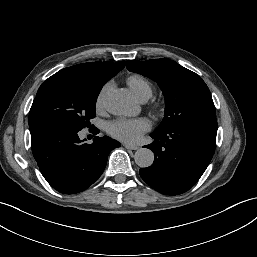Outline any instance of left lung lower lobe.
Masks as SVG:
<instances>
[{"instance_id":"left-lung-lower-lobe-1","label":"left lung lower lobe","mask_w":257,"mask_h":257,"mask_svg":"<svg viewBox=\"0 0 257 257\" xmlns=\"http://www.w3.org/2000/svg\"><path fill=\"white\" fill-rule=\"evenodd\" d=\"M217 120L206 118L153 132L155 140L145 146L154 152L150 167L139 170L142 179L163 194L189 190L206 170L215 151Z\"/></svg>"}]
</instances>
